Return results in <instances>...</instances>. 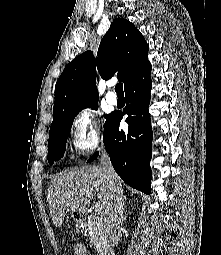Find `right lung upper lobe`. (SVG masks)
<instances>
[{"label": "right lung upper lobe", "mask_w": 221, "mask_h": 255, "mask_svg": "<svg viewBox=\"0 0 221 255\" xmlns=\"http://www.w3.org/2000/svg\"><path fill=\"white\" fill-rule=\"evenodd\" d=\"M148 50L144 37L131 22L115 18L101 40L98 57L95 59L91 51L84 52L65 67L57 80L50 131L62 115L98 102L96 62L103 79H110L118 71L125 88L149 63Z\"/></svg>", "instance_id": "cb5924a9"}]
</instances>
